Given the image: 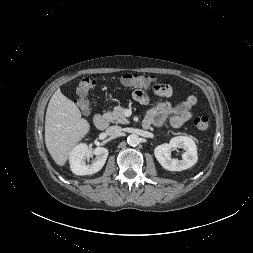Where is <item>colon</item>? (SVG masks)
<instances>
[{
    "mask_svg": "<svg viewBox=\"0 0 253 253\" xmlns=\"http://www.w3.org/2000/svg\"><path fill=\"white\" fill-rule=\"evenodd\" d=\"M155 77L152 75H143L139 73L125 74L121 82L127 87L142 88L152 85ZM96 85V80L91 77H84L80 80L76 92L79 98L76 100L77 106L82 113L88 114L90 112V103L86 98L89 91ZM194 125L198 130L204 131L209 127V119L207 116H198L194 120Z\"/></svg>",
    "mask_w": 253,
    "mask_h": 253,
    "instance_id": "colon-1",
    "label": "colon"
}]
</instances>
